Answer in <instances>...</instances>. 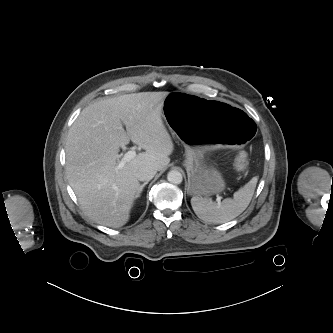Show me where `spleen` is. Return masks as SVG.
Listing matches in <instances>:
<instances>
[{"instance_id":"1","label":"spleen","mask_w":333,"mask_h":333,"mask_svg":"<svg viewBox=\"0 0 333 333\" xmlns=\"http://www.w3.org/2000/svg\"><path fill=\"white\" fill-rule=\"evenodd\" d=\"M257 177H253L244 187L236 191L232 198H226L220 203L211 199L194 196L191 205L195 214L205 222L225 223L240 215L249 205Z\"/></svg>"}]
</instances>
